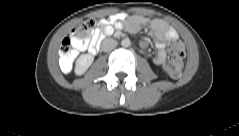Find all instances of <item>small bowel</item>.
Returning <instances> with one entry per match:
<instances>
[{
	"mask_svg": "<svg viewBox=\"0 0 239 136\" xmlns=\"http://www.w3.org/2000/svg\"><path fill=\"white\" fill-rule=\"evenodd\" d=\"M100 25L102 28L96 29L90 38L75 43V49L77 51H84L87 48L90 49L100 36L103 34H112L115 29H120L125 26L129 32L136 33L142 27L149 25L156 37L155 44L157 51L154 56V63L162 65L166 61L168 54L167 42L177 41L179 38L176 30L166 21L159 18L149 19L144 16L127 17L123 13H118L108 19H102Z\"/></svg>",
	"mask_w": 239,
	"mask_h": 136,
	"instance_id": "obj_1",
	"label": "small bowel"
}]
</instances>
